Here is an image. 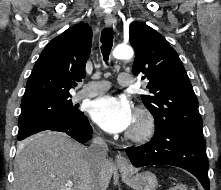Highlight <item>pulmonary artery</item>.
<instances>
[{
  "label": "pulmonary artery",
  "mask_w": 221,
  "mask_h": 190,
  "mask_svg": "<svg viewBox=\"0 0 221 190\" xmlns=\"http://www.w3.org/2000/svg\"><path fill=\"white\" fill-rule=\"evenodd\" d=\"M118 83L122 86H132L134 84V79L131 74L123 72L118 76ZM109 87L110 86L107 81H96L88 83L75 94L74 99L81 100L84 98L97 96L107 91Z\"/></svg>",
  "instance_id": "e3ab8cb5"
}]
</instances>
